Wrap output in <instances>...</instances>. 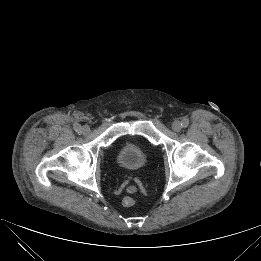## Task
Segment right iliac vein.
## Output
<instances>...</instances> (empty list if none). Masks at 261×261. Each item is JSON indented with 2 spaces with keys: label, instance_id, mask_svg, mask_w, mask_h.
Here are the masks:
<instances>
[{
  "label": "right iliac vein",
  "instance_id": "obj_1",
  "mask_svg": "<svg viewBox=\"0 0 261 261\" xmlns=\"http://www.w3.org/2000/svg\"><path fill=\"white\" fill-rule=\"evenodd\" d=\"M89 131H90V128H89V126H87V125H84V126L81 128V133H82L83 135H87V134L89 133Z\"/></svg>",
  "mask_w": 261,
  "mask_h": 261
}]
</instances>
